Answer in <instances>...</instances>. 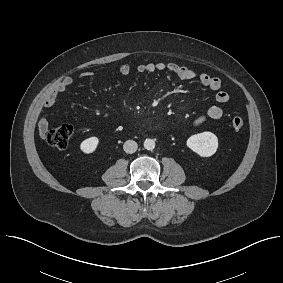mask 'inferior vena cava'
Wrapping results in <instances>:
<instances>
[{
  "label": "inferior vena cava",
  "mask_w": 283,
  "mask_h": 283,
  "mask_svg": "<svg viewBox=\"0 0 283 283\" xmlns=\"http://www.w3.org/2000/svg\"><path fill=\"white\" fill-rule=\"evenodd\" d=\"M137 148H138V145L133 140H127L123 145L124 151L128 154H132L136 152Z\"/></svg>",
  "instance_id": "602c4592"
}]
</instances>
